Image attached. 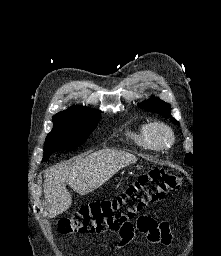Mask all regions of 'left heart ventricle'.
Wrapping results in <instances>:
<instances>
[{"mask_svg": "<svg viewBox=\"0 0 221 256\" xmlns=\"http://www.w3.org/2000/svg\"><path fill=\"white\" fill-rule=\"evenodd\" d=\"M161 138H162L163 141H166V140H167V136H166L165 134H162V135H161Z\"/></svg>", "mask_w": 221, "mask_h": 256, "instance_id": "obj_1", "label": "left heart ventricle"}]
</instances>
